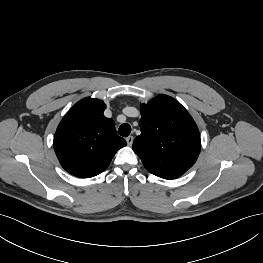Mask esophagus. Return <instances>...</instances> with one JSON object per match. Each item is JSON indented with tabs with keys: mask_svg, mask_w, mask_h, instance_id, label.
<instances>
[{
	"mask_svg": "<svg viewBox=\"0 0 263 263\" xmlns=\"http://www.w3.org/2000/svg\"><path fill=\"white\" fill-rule=\"evenodd\" d=\"M133 140H134L133 136H128L126 138V142H127L128 146H131L133 144Z\"/></svg>",
	"mask_w": 263,
	"mask_h": 263,
	"instance_id": "esophagus-1",
	"label": "esophagus"
}]
</instances>
